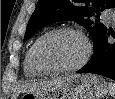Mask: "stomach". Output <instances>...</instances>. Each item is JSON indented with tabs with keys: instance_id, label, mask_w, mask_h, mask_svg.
I'll return each instance as SVG.
<instances>
[{
	"instance_id": "obj_1",
	"label": "stomach",
	"mask_w": 115,
	"mask_h": 99,
	"mask_svg": "<svg viewBox=\"0 0 115 99\" xmlns=\"http://www.w3.org/2000/svg\"><path fill=\"white\" fill-rule=\"evenodd\" d=\"M107 92V82L100 76L75 74L55 86L26 92L21 99H102Z\"/></svg>"
}]
</instances>
